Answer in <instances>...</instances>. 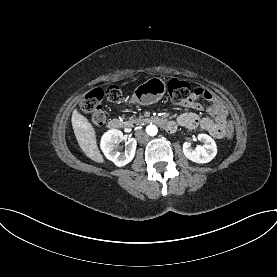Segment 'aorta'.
Returning a JSON list of instances; mask_svg holds the SVG:
<instances>
[{
	"mask_svg": "<svg viewBox=\"0 0 277 277\" xmlns=\"http://www.w3.org/2000/svg\"><path fill=\"white\" fill-rule=\"evenodd\" d=\"M146 132L150 136H155L158 133V129L155 125H148L146 127Z\"/></svg>",
	"mask_w": 277,
	"mask_h": 277,
	"instance_id": "1",
	"label": "aorta"
}]
</instances>
